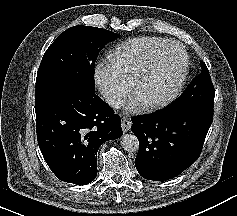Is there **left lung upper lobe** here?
Here are the masks:
<instances>
[{
    "label": "left lung upper lobe",
    "instance_id": "obj_1",
    "mask_svg": "<svg viewBox=\"0 0 237 216\" xmlns=\"http://www.w3.org/2000/svg\"><path fill=\"white\" fill-rule=\"evenodd\" d=\"M214 86L209 71L204 62H201V72L187 86L183 94L172 103V106H184L209 115H213Z\"/></svg>",
    "mask_w": 237,
    "mask_h": 216
}]
</instances>
